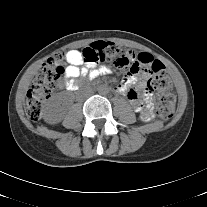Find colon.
Returning a JSON list of instances; mask_svg holds the SVG:
<instances>
[{"label": "colon", "mask_w": 207, "mask_h": 207, "mask_svg": "<svg viewBox=\"0 0 207 207\" xmlns=\"http://www.w3.org/2000/svg\"><path fill=\"white\" fill-rule=\"evenodd\" d=\"M84 61L91 65L113 63L120 68H128L132 72L147 70L152 77L147 82L148 91L155 93L157 116L168 121L175 111V94L165 66L152 54H141L139 51H126L119 45L97 41L82 51ZM65 55L57 53L49 58L38 70L26 95L27 116L37 121L41 118L46 101L53 94L54 88L61 79L64 70Z\"/></svg>", "instance_id": "colon-1"}]
</instances>
